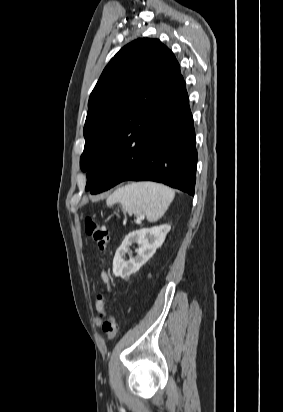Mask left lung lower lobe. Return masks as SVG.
<instances>
[{"label": "left lung lower lobe", "mask_w": 283, "mask_h": 412, "mask_svg": "<svg viewBox=\"0 0 283 412\" xmlns=\"http://www.w3.org/2000/svg\"><path fill=\"white\" fill-rule=\"evenodd\" d=\"M197 151L186 87L150 132L140 153L112 154L95 177L96 193L123 181H155L194 195Z\"/></svg>", "instance_id": "0a47b994"}]
</instances>
